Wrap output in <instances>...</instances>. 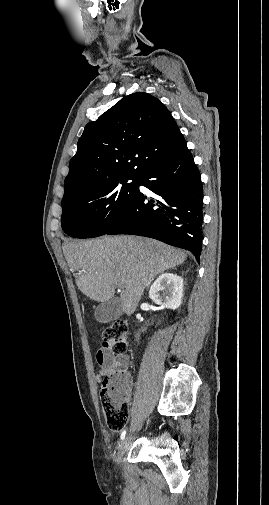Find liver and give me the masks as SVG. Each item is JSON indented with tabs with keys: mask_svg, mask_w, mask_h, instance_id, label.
I'll list each match as a JSON object with an SVG mask.
<instances>
[{
	"mask_svg": "<svg viewBox=\"0 0 269 505\" xmlns=\"http://www.w3.org/2000/svg\"><path fill=\"white\" fill-rule=\"evenodd\" d=\"M63 253L84 295L106 302L120 287L122 310L127 315L136 310L144 289L156 275L187 258L184 251L160 241L130 235L66 241Z\"/></svg>",
	"mask_w": 269,
	"mask_h": 505,
	"instance_id": "1",
	"label": "liver"
}]
</instances>
